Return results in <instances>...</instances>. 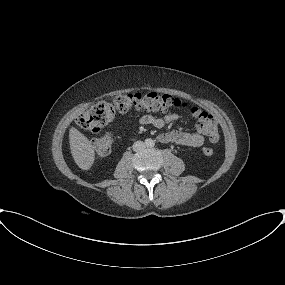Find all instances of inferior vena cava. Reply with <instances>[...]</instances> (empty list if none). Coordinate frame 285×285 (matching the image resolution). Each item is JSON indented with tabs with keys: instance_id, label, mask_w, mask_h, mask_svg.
<instances>
[{
	"instance_id": "602c4592",
	"label": "inferior vena cava",
	"mask_w": 285,
	"mask_h": 285,
	"mask_svg": "<svg viewBox=\"0 0 285 285\" xmlns=\"http://www.w3.org/2000/svg\"><path fill=\"white\" fill-rule=\"evenodd\" d=\"M133 150L135 152H139V151H142L145 149L146 145L143 141H136L134 144H133Z\"/></svg>"
}]
</instances>
